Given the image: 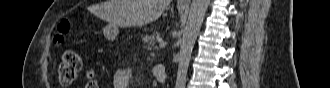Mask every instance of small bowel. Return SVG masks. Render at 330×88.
Listing matches in <instances>:
<instances>
[{"label":"small bowel","mask_w":330,"mask_h":88,"mask_svg":"<svg viewBox=\"0 0 330 88\" xmlns=\"http://www.w3.org/2000/svg\"><path fill=\"white\" fill-rule=\"evenodd\" d=\"M134 68H126L118 71L114 76V88H129L134 77ZM153 77L161 81L165 77V68L162 65H155L152 68Z\"/></svg>","instance_id":"1"}]
</instances>
